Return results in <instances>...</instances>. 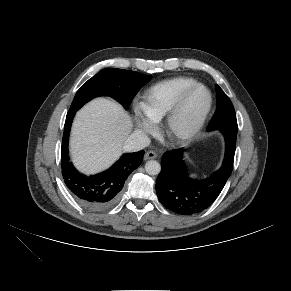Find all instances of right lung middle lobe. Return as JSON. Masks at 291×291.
Returning a JSON list of instances; mask_svg holds the SVG:
<instances>
[{"mask_svg":"<svg viewBox=\"0 0 291 291\" xmlns=\"http://www.w3.org/2000/svg\"><path fill=\"white\" fill-rule=\"evenodd\" d=\"M151 76L134 71L106 68L89 79L76 93L69 112L77 111L97 96H111L127 108Z\"/></svg>","mask_w":291,"mask_h":291,"instance_id":"1","label":"right lung middle lobe"}]
</instances>
